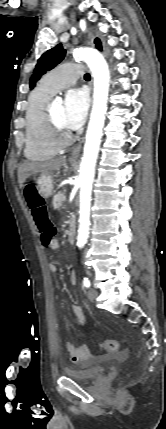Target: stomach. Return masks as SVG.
<instances>
[{
	"mask_svg": "<svg viewBox=\"0 0 166 429\" xmlns=\"http://www.w3.org/2000/svg\"><path fill=\"white\" fill-rule=\"evenodd\" d=\"M35 189L40 190L42 198H48L53 194V178L50 175H40L36 180Z\"/></svg>",
	"mask_w": 166,
	"mask_h": 429,
	"instance_id": "0dacf381",
	"label": "stomach"
}]
</instances>
